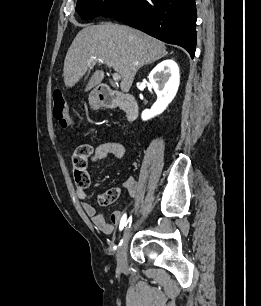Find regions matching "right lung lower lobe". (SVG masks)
Listing matches in <instances>:
<instances>
[{"label":"right lung lower lobe","mask_w":261,"mask_h":306,"mask_svg":"<svg viewBox=\"0 0 261 306\" xmlns=\"http://www.w3.org/2000/svg\"><path fill=\"white\" fill-rule=\"evenodd\" d=\"M102 16L120 20L166 43L179 45L194 57L195 0H125Z\"/></svg>","instance_id":"obj_1"}]
</instances>
